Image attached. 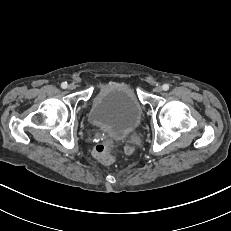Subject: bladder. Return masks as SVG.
<instances>
[{
	"label": "bladder",
	"mask_w": 231,
	"mask_h": 231,
	"mask_svg": "<svg viewBox=\"0 0 231 231\" xmlns=\"http://www.w3.org/2000/svg\"><path fill=\"white\" fill-rule=\"evenodd\" d=\"M87 117L93 126L122 136L137 128L142 118V106L128 84L109 81L94 94Z\"/></svg>",
	"instance_id": "obj_1"
}]
</instances>
